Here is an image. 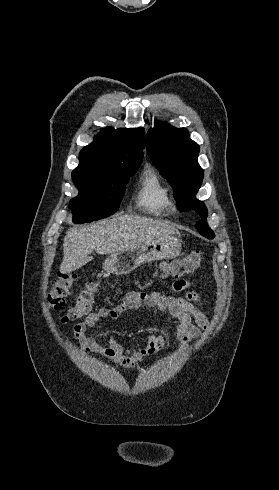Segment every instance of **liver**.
<instances>
[{"instance_id":"obj_1","label":"liver","mask_w":279,"mask_h":490,"mask_svg":"<svg viewBox=\"0 0 279 490\" xmlns=\"http://www.w3.org/2000/svg\"><path fill=\"white\" fill-rule=\"evenodd\" d=\"M178 234L169 222H158L141 216H120L90 226H78L68 232L63 242V260L59 272L70 274L93 260L92 254H116L136 248L154 238Z\"/></svg>"}]
</instances>
